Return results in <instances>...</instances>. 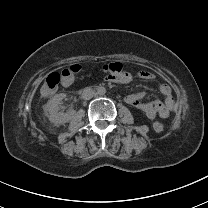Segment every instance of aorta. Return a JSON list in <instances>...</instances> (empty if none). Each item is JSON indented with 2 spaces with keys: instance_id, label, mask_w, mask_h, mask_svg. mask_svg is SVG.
Returning a JSON list of instances; mask_svg holds the SVG:
<instances>
[{
  "instance_id": "762f6f07",
  "label": "aorta",
  "mask_w": 208,
  "mask_h": 208,
  "mask_svg": "<svg viewBox=\"0 0 208 208\" xmlns=\"http://www.w3.org/2000/svg\"><path fill=\"white\" fill-rule=\"evenodd\" d=\"M95 93H96L97 96L103 97V96L106 95L107 89L104 86H99V87L96 88Z\"/></svg>"
}]
</instances>
